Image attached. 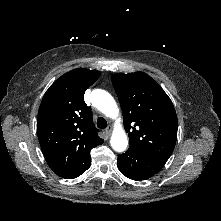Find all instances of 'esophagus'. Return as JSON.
I'll list each match as a JSON object with an SVG mask.
<instances>
[{"mask_svg": "<svg viewBox=\"0 0 221 221\" xmlns=\"http://www.w3.org/2000/svg\"><path fill=\"white\" fill-rule=\"evenodd\" d=\"M111 131H112V126H109L107 129H106V134L109 136L111 134Z\"/></svg>", "mask_w": 221, "mask_h": 221, "instance_id": "esophagus-1", "label": "esophagus"}]
</instances>
